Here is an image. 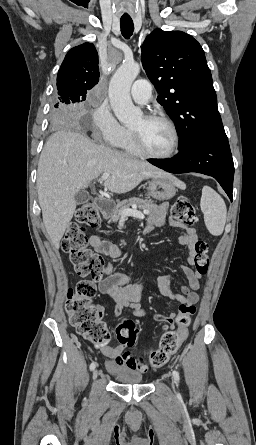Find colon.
Here are the masks:
<instances>
[{
	"instance_id": "colon-1",
	"label": "colon",
	"mask_w": 256,
	"mask_h": 445,
	"mask_svg": "<svg viewBox=\"0 0 256 445\" xmlns=\"http://www.w3.org/2000/svg\"><path fill=\"white\" fill-rule=\"evenodd\" d=\"M171 221L175 226H190L196 223V211L187 197H180L171 210ZM100 224L96 204L89 201L81 206L76 221L70 226L62 241V250L69 255L75 272L91 280H81L68 292L66 311L70 323L76 332L92 343L104 345L110 340V333L102 321V308L94 303L96 288L93 283L103 276L104 260L100 255L88 249L87 230L95 229ZM194 265L199 273L205 274L209 267L207 244L198 239L195 244ZM195 314L192 305L181 308L176 322L177 330L167 331L160 346L150 354L153 368L166 365L184 340V329L187 328ZM117 338L121 344L131 346L138 338V330L132 320H125L117 329Z\"/></svg>"
}]
</instances>
